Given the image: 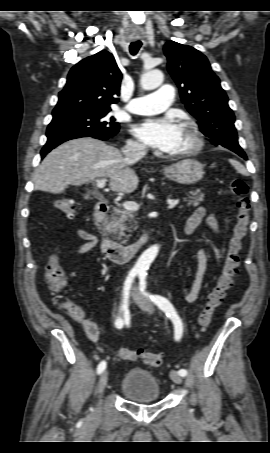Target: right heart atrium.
I'll return each instance as SVG.
<instances>
[{
	"mask_svg": "<svg viewBox=\"0 0 270 453\" xmlns=\"http://www.w3.org/2000/svg\"><path fill=\"white\" fill-rule=\"evenodd\" d=\"M127 146H128V148L134 149V150H143L144 149V145L140 141H137V140H129L127 142Z\"/></svg>",
	"mask_w": 270,
	"mask_h": 453,
	"instance_id": "obj_1",
	"label": "right heart atrium"
}]
</instances>
